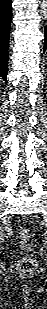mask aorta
I'll use <instances>...</instances> for the list:
<instances>
[{
    "label": "aorta",
    "instance_id": "762f6f07",
    "mask_svg": "<svg viewBox=\"0 0 47 309\" xmlns=\"http://www.w3.org/2000/svg\"><path fill=\"white\" fill-rule=\"evenodd\" d=\"M46 6H47V0H43V7L46 10Z\"/></svg>",
    "mask_w": 47,
    "mask_h": 309
}]
</instances>
